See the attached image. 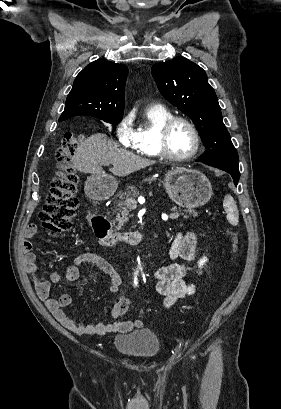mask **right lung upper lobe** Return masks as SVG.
<instances>
[{
  "instance_id": "obj_1",
  "label": "right lung upper lobe",
  "mask_w": 281,
  "mask_h": 409,
  "mask_svg": "<svg viewBox=\"0 0 281 409\" xmlns=\"http://www.w3.org/2000/svg\"><path fill=\"white\" fill-rule=\"evenodd\" d=\"M128 69L105 59L87 65L76 77L59 121L74 116L123 117Z\"/></svg>"
}]
</instances>
